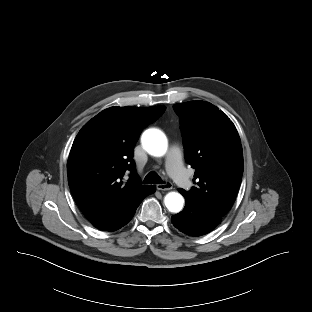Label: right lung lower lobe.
<instances>
[{
	"label": "right lung lower lobe",
	"mask_w": 312,
	"mask_h": 312,
	"mask_svg": "<svg viewBox=\"0 0 312 312\" xmlns=\"http://www.w3.org/2000/svg\"><path fill=\"white\" fill-rule=\"evenodd\" d=\"M155 191V186H147L144 191L142 192L141 196H140V199L138 200V202L133 206V208L130 210V212L128 213V215L117 225L115 226L114 228H112L111 230L109 231H115V230H118L119 228H121L122 226L126 225L133 217V215L135 214L136 212V209L137 207L139 206V204L142 202V200L152 194L153 192Z\"/></svg>",
	"instance_id": "98d812e1"
}]
</instances>
